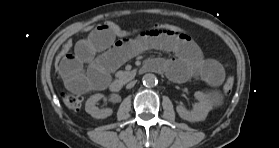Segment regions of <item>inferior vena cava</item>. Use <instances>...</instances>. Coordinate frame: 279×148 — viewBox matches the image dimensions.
<instances>
[{
  "instance_id": "1",
  "label": "inferior vena cava",
  "mask_w": 279,
  "mask_h": 148,
  "mask_svg": "<svg viewBox=\"0 0 279 148\" xmlns=\"http://www.w3.org/2000/svg\"><path fill=\"white\" fill-rule=\"evenodd\" d=\"M135 83H136V81H132V82L128 83V84L126 85V88H127V89H130V88L134 87Z\"/></svg>"
}]
</instances>
